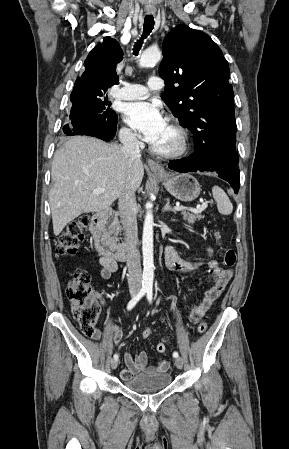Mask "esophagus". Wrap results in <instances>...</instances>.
<instances>
[{
	"mask_svg": "<svg viewBox=\"0 0 289 449\" xmlns=\"http://www.w3.org/2000/svg\"><path fill=\"white\" fill-rule=\"evenodd\" d=\"M147 164L153 172L162 173L164 171L163 167L158 162L152 159H148Z\"/></svg>",
	"mask_w": 289,
	"mask_h": 449,
	"instance_id": "obj_1",
	"label": "esophagus"
}]
</instances>
